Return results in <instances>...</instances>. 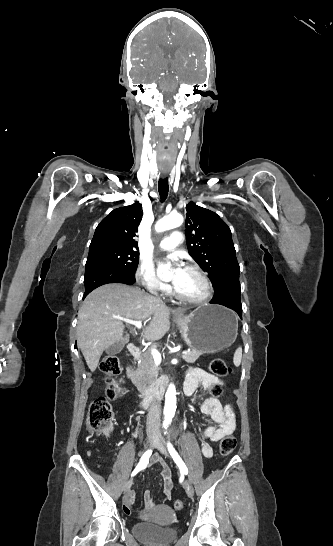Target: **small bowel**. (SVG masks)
<instances>
[{"label":"small bowel","instance_id":"c3829d8e","mask_svg":"<svg viewBox=\"0 0 333 546\" xmlns=\"http://www.w3.org/2000/svg\"><path fill=\"white\" fill-rule=\"evenodd\" d=\"M210 387L217 385L223 389L226 388V383L200 368L190 369L187 373L184 382V391L187 395L194 393L199 385ZM201 412L209 416L213 422L212 425L202 431L203 442L201 451L204 457L211 458L213 456L212 443L220 441L226 435L232 434L236 429V416L230 404L222 405L216 398H208L201 405ZM159 464L161 466V477L163 481V491L166 499L169 500L173 489V481L171 471L163 458L155 454L150 459V465ZM145 510L139 512L141 518H147L151 512L164 510L163 505L157 504L151 495L150 491L144 493ZM135 494L133 491L128 492L124 497L123 509L126 514L133 512V504Z\"/></svg>","mask_w":333,"mask_h":546}]
</instances>
